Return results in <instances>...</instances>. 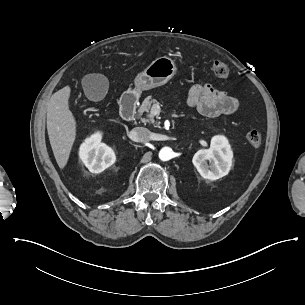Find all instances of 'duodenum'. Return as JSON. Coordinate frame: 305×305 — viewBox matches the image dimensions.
I'll return each mask as SVG.
<instances>
[{"label":"duodenum","instance_id":"410a0bca","mask_svg":"<svg viewBox=\"0 0 305 305\" xmlns=\"http://www.w3.org/2000/svg\"><path fill=\"white\" fill-rule=\"evenodd\" d=\"M138 100V94L135 92H127L121 97L120 114L123 120L130 121L134 118Z\"/></svg>","mask_w":305,"mask_h":305}]
</instances>
